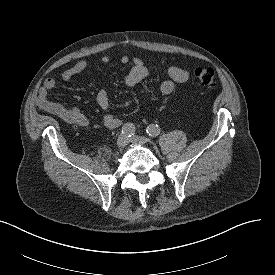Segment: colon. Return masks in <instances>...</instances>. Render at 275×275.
<instances>
[{
	"label": "colon",
	"mask_w": 275,
	"mask_h": 275,
	"mask_svg": "<svg viewBox=\"0 0 275 275\" xmlns=\"http://www.w3.org/2000/svg\"><path fill=\"white\" fill-rule=\"evenodd\" d=\"M195 76L199 83L207 88L215 86V71L210 67H199L195 70Z\"/></svg>",
	"instance_id": "5ec220e1"
}]
</instances>
